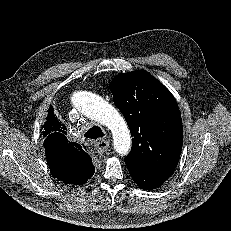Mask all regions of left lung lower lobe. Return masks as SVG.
Here are the masks:
<instances>
[{
	"label": "left lung lower lobe",
	"mask_w": 231,
	"mask_h": 231,
	"mask_svg": "<svg viewBox=\"0 0 231 231\" xmlns=\"http://www.w3.org/2000/svg\"><path fill=\"white\" fill-rule=\"evenodd\" d=\"M129 173L136 184L144 190H152L164 183L174 172L175 168H156L134 166L126 163Z\"/></svg>",
	"instance_id": "obj_1"
}]
</instances>
